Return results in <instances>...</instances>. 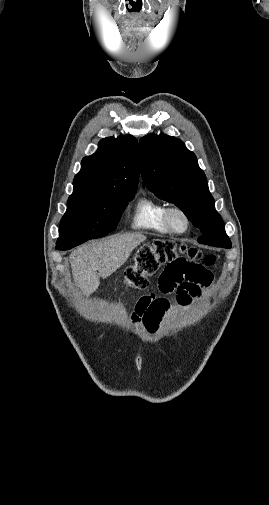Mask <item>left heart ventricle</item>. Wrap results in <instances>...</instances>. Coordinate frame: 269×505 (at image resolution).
Returning a JSON list of instances; mask_svg holds the SVG:
<instances>
[{
  "label": "left heart ventricle",
  "instance_id": "b2bd125f",
  "mask_svg": "<svg viewBox=\"0 0 269 505\" xmlns=\"http://www.w3.org/2000/svg\"><path fill=\"white\" fill-rule=\"evenodd\" d=\"M172 222L175 228L183 230L186 227L185 219L180 214H174L172 216Z\"/></svg>",
  "mask_w": 269,
  "mask_h": 505
}]
</instances>
